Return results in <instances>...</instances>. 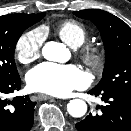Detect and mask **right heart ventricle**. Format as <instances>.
<instances>
[{
	"mask_svg": "<svg viewBox=\"0 0 131 131\" xmlns=\"http://www.w3.org/2000/svg\"><path fill=\"white\" fill-rule=\"evenodd\" d=\"M56 31L61 40L72 48L80 47L87 39L86 28L75 20L61 22Z\"/></svg>",
	"mask_w": 131,
	"mask_h": 131,
	"instance_id": "1",
	"label": "right heart ventricle"
}]
</instances>
